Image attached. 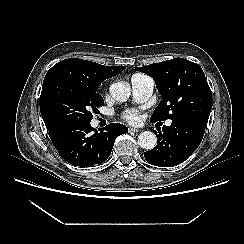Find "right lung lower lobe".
Returning a JSON list of instances; mask_svg holds the SVG:
<instances>
[{
    "label": "right lung lower lobe",
    "instance_id": "obj_1",
    "mask_svg": "<svg viewBox=\"0 0 244 244\" xmlns=\"http://www.w3.org/2000/svg\"><path fill=\"white\" fill-rule=\"evenodd\" d=\"M48 131L54 147L68 163L91 167L108 159L115 139L128 128L111 123L97 132L90 123H71Z\"/></svg>",
    "mask_w": 244,
    "mask_h": 244
}]
</instances>
